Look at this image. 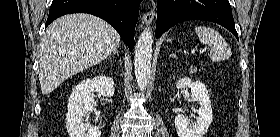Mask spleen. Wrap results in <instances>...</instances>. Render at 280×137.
Returning a JSON list of instances; mask_svg holds the SVG:
<instances>
[{"label":"spleen","mask_w":280,"mask_h":137,"mask_svg":"<svg viewBox=\"0 0 280 137\" xmlns=\"http://www.w3.org/2000/svg\"><path fill=\"white\" fill-rule=\"evenodd\" d=\"M195 32L203 44L210 46V58L213 61H224L231 57V48L218 31L211 27L197 26Z\"/></svg>","instance_id":"1"}]
</instances>
